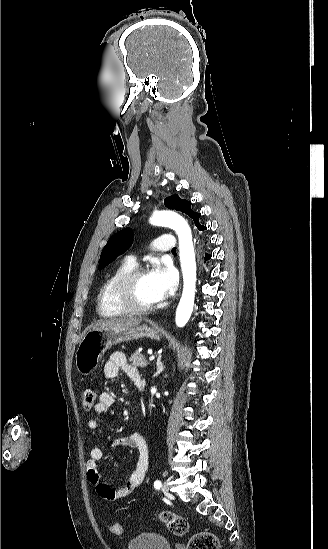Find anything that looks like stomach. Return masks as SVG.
I'll return each instance as SVG.
<instances>
[{
    "instance_id": "stomach-1",
    "label": "stomach",
    "mask_w": 328,
    "mask_h": 549,
    "mask_svg": "<svg viewBox=\"0 0 328 549\" xmlns=\"http://www.w3.org/2000/svg\"><path fill=\"white\" fill-rule=\"evenodd\" d=\"M142 337L160 339V331L151 329L148 325H136V327H106V329H88L86 331L75 355L76 369L80 375H91L99 365L104 353L112 345L135 341Z\"/></svg>"
}]
</instances>
